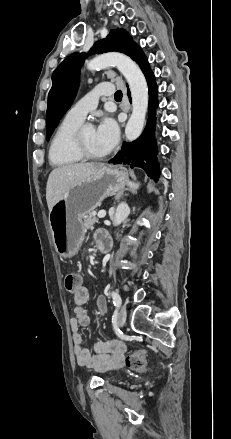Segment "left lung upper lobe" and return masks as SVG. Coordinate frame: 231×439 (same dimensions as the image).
Returning a JSON list of instances; mask_svg holds the SVG:
<instances>
[{
	"label": "left lung upper lobe",
	"mask_w": 231,
	"mask_h": 439,
	"mask_svg": "<svg viewBox=\"0 0 231 439\" xmlns=\"http://www.w3.org/2000/svg\"><path fill=\"white\" fill-rule=\"evenodd\" d=\"M118 51L127 54L133 60L142 52L141 48L123 30H111L108 36L98 41L92 53ZM85 55L74 53L64 59L52 75V87L48 95L46 113L47 139L50 138L59 120L70 108L78 88L79 72Z\"/></svg>",
	"instance_id": "obj_1"
}]
</instances>
